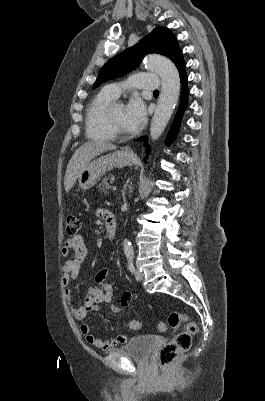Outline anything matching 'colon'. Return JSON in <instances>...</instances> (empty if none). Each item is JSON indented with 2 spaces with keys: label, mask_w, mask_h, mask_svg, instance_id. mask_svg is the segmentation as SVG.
<instances>
[{
  "label": "colon",
  "mask_w": 265,
  "mask_h": 401,
  "mask_svg": "<svg viewBox=\"0 0 265 401\" xmlns=\"http://www.w3.org/2000/svg\"><path fill=\"white\" fill-rule=\"evenodd\" d=\"M80 229V220L75 215H69L66 219V231L70 235H75ZM184 325L180 331L171 341L165 344L159 353L160 366L163 370H169L177 359L191 346L192 336L197 331V326L187 315L173 311L169 314L166 321H161L158 324L160 331H165L169 328H177ZM141 323L138 320L130 322V328L139 329Z\"/></svg>",
  "instance_id": "obj_1"
}]
</instances>
